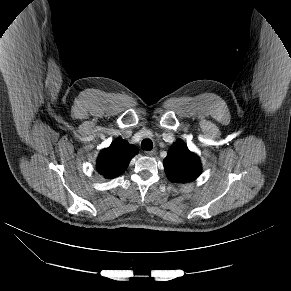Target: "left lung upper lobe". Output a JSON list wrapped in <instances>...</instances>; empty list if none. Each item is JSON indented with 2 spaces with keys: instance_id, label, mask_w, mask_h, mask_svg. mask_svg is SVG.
Here are the masks:
<instances>
[{
  "instance_id": "left-lung-upper-lobe-1",
  "label": "left lung upper lobe",
  "mask_w": 291,
  "mask_h": 291,
  "mask_svg": "<svg viewBox=\"0 0 291 291\" xmlns=\"http://www.w3.org/2000/svg\"><path fill=\"white\" fill-rule=\"evenodd\" d=\"M166 175L173 183H188L201 174L199 157L189 151L187 145L178 139L169 149L163 161Z\"/></svg>"
}]
</instances>
